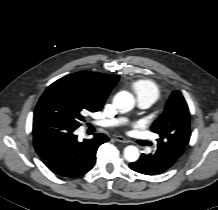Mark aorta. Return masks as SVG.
<instances>
[{"mask_svg": "<svg viewBox=\"0 0 218 210\" xmlns=\"http://www.w3.org/2000/svg\"><path fill=\"white\" fill-rule=\"evenodd\" d=\"M114 105L121 112H128L134 108L135 100L131 93L121 91L114 97ZM140 153L136 146L130 145L124 149V158L128 162H135L139 159Z\"/></svg>", "mask_w": 218, "mask_h": 210, "instance_id": "1", "label": "aorta"}]
</instances>
